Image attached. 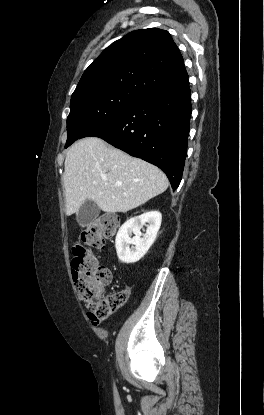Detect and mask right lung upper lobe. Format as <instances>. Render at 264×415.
Segmentation results:
<instances>
[{
    "mask_svg": "<svg viewBox=\"0 0 264 415\" xmlns=\"http://www.w3.org/2000/svg\"><path fill=\"white\" fill-rule=\"evenodd\" d=\"M187 78L170 34L158 28L141 29L107 47L85 70L71 99L111 91L143 98Z\"/></svg>",
    "mask_w": 264,
    "mask_h": 415,
    "instance_id": "cb5924a9",
    "label": "right lung upper lobe"
}]
</instances>
